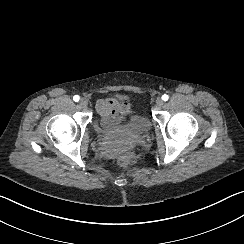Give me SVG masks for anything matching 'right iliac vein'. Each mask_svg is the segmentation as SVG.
Here are the masks:
<instances>
[{
    "label": "right iliac vein",
    "mask_w": 244,
    "mask_h": 244,
    "mask_svg": "<svg viewBox=\"0 0 244 244\" xmlns=\"http://www.w3.org/2000/svg\"><path fill=\"white\" fill-rule=\"evenodd\" d=\"M79 104H80V106L81 107H86L87 106V104H88V101H87V99L86 98H81L80 99V101H79Z\"/></svg>",
    "instance_id": "1"
}]
</instances>
